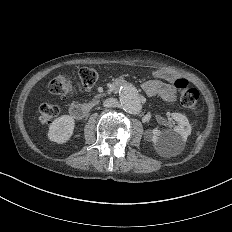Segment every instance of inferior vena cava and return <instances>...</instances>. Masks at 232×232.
Returning a JSON list of instances; mask_svg holds the SVG:
<instances>
[{
  "label": "inferior vena cava",
  "instance_id": "inferior-vena-cava-1",
  "mask_svg": "<svg viewBox=\"0 0 232 232\" xmlns=\"http://www.w3.org/2000/svg\"><path fill=\"white\" fill-rule=\"evenodd\" d=\"M116 104H117V100L115 98H108L103 102L104 107H115Z\"/></svg>",
  "mask_w": 232,
  "mask_h": 232
}]
</instances>
